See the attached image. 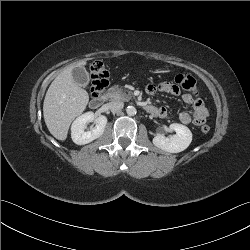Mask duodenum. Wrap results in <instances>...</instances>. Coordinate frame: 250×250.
I'll return each instance as SVG.
<instances>
[{
  "mask_svg": "<svg viewBox=\"0 0 250 250\" xmlns=\"http://www.w3.org/2000/svg\"><path fill=\"white\" fill-rule=\"evenodd\" d=\"M105 100L106 96L104 95L94 96L90 101V107L93 109H98L104 104ZM146 110L151 114H154L156 112L153 106H147Z\"/></svg>",
  "mask_w": 250,
  "mask_h": 250,
  "instance_id": "410a0bca",
  "label": "duodenum"
}]
</instances>
